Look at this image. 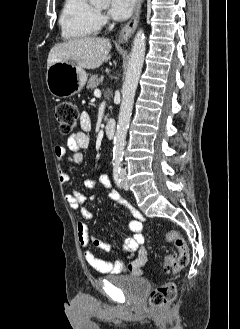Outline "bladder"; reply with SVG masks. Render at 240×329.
Segmentation results:
<instances>
[{
    "label": "bladder",
    "instance_id": "1",
    "mask_svg": "<svg viewBox=\"0 0 240 329\" xmlns=\"http://www.w3.org/2000/svg\"><path fill=\"white\" fill-rule=\"evenodd\" d=\"M109 280L132 297H142L150 290V282L141 276L115 275Z\"/></svg>",
    "mask_w": 240,
    "mask_h": 329
}]
</instances>
